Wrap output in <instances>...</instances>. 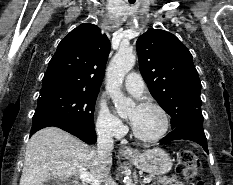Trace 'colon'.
<instances>
[{
    "mask_svg": "<svg viewBox=\"0 0 233 185\" xmlns=\"http://www.w3.org/2000/svg\"><path fill=\"white\" fill-rule=\"evenodd\" d=\"M198 158L192 149H184L181 151L177 171L184 176L192 185H204L200 177L197 175Z\"/></svg>",
    "mask_w": 233,
    "mask_h": 185,
    "instance_id": "obj_1",
    "label": "colon"
}]
</instances>
